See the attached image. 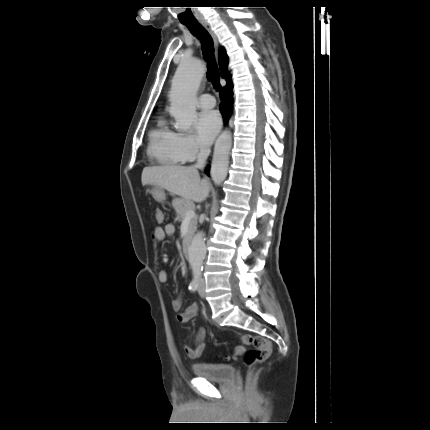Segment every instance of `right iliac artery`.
<instances>
[{
	"mask_svg": "<svg viewBox=\"0 0 430 430\" xmlns=\"http://www.w3.org/2000/svg\"><path fill=\"white\" fill-rule=\"evenodd\" d=\"M199 273H196L194 275V279L191 281V283L189 284V290L191 291H196L198 288V278H199Z\"/></svg>",
	"mask_w": 430,
	"mask_h": 430,
	"instance_id": "right-iliac-artery-1",
	"label": "right iliac artery"
}]
</instances>
